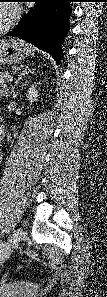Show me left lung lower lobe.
<instances>
[{"instance_id":"1","label":"left lung lower lobe","mask_w":107,"mask_h":297,"mask_svg":"<svg viewBox=\"0 0 107 297\" xmlns=\"http://www.w3.org/2000/svg\"><path fill=\"white\" fill-rule=\"evenodd\" d=\"M39 5L31 9L16 28L8 33L19 37L52 55L59 64L62 43L69 31L72 0H33Z\"/></svg>"}]
</instances>
